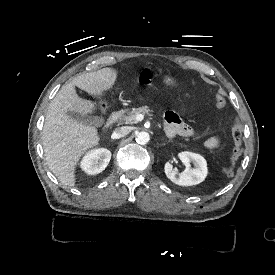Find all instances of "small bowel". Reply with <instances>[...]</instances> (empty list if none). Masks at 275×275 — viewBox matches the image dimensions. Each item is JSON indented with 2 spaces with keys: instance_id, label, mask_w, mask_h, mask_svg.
<instances>
[{
  "instance_id": "obj_1",
  "label": "small bowel",
  "mask_w": 275,
  "mask_h": 275,
  "mask_svg": "<svg viewBox=\"0 0 275 275\" xmlns=\"http://www.w3.org/2000/svg\"><path fill=\"white\" fill-rule=\"evenodd\" d=\"M141 77L139 78V84L145 89L150 87V77L160 75L162 70L155 68L154 66H144L140 70ZM165 132L169 137L180 135L183 137H190L194 135V130L188 124H186L181 117L175 112H169L166 115ZM220 140L218 137H211L205 141L204 146L207 149H215L219 146Z\"/></svg>"
}]
</instances>
